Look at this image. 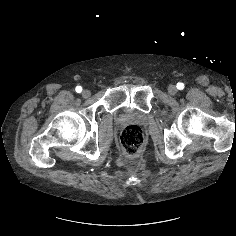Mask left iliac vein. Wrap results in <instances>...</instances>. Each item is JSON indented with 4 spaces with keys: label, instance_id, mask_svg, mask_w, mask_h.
Wrapping results in <instances>:
<instances>
[{
    "label": "left iliac vein",
    "instance_id": "left-iliac-vein-1",
    "mask_svg": "<svg viewBox=\"0 0 236 236\" xmlns=\"http://www.w3.org/2000/svg\"><path fill=\"white\" fill-rule=\"evenodd\" d=\"M177 91L178 90H177V87L175 85L171 84V85L168 86V93L170 95H175L177 93Z\"/></svg>",
    "mask_w": 236,
    "mask_h": 236
}]
</instances>
